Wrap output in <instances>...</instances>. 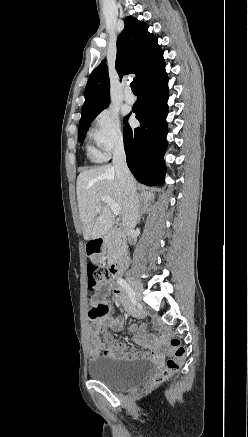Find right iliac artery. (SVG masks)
<instances>
[{
  "label": "right iliac artery",
  "instance_id": "obj_1",
  "mask_svg": "<svg viewBox=\"0 0 248 437\" xmlns=\"http://www.w3.org/2000/svg\"><path fill=\"white\" fill-rule=\"evenodd\" d=\"M118 284L126 291L133 304H136L135 292L123 278L117 279Z\"/></svg>",
  "mask_w": 248,
  "mask_h": 437
}]
</instances>
